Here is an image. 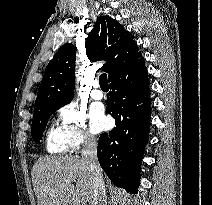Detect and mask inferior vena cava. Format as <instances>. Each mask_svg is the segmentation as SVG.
<instances>
[{
  "label": "inferior vena cava",
  "instance_id": "inferior-vena-cava-1",
  "mask_svg": "<svg viewBox=\"0 0 212 205\" xmlns=\"http://www.w3.org/2000/svg\"><path fill=\"white\" fill-rule=\"evenodd\" d=\"M81 154L82 160L92 173L93 196L91 205H106V190L97 158V142L92 136H84Z\"/></svg>",
  "mask_w": 212,
  "mask_h": 205
}]
</instances>
